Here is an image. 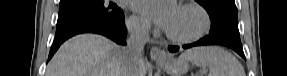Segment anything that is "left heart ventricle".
<instances>
[{
    "label": "left heart ventricle",
    "mask_w": 287,
    "mask_h": 76,
    "mask_svg": "<svg viewBox=\"0 0 287 76\" xmlns=\"http://www.w3.org/2000/svg\"><path fill=\"white\" fill-rule=\"evenodd\" d=\"M201 24L202 18L197 11L189 8H178L167 31L176 36H188L195 33Z\"/></svg>",
    "instance_id": "b2bd125f"
}]
</instances>
